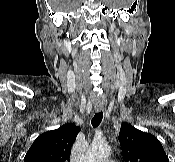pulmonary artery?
Listing matches in <instances>:
<instances>
[{
    "mask_svg": "<svg viewBox=\"0 0 175 162\" xmlns=\"http://www.w3.org/2000/svg\"><path fill=\"white\" fill-rule=\"evenodd\" d=\"M103 162H114L113 160H104Z\"/></svg>",
    "mask_w": 175,
    "mask_h": 162,
    "instance_id": "obj_1",
    "label": "pulmonary artery"
}]
</instances>
